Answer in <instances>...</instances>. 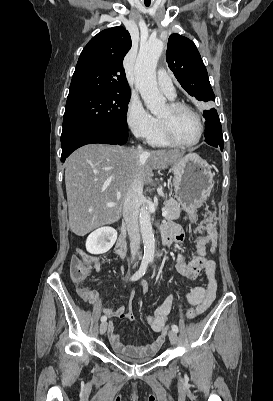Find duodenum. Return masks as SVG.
Listing matches in <instances>:
<instances>
[{
	"instance_id": "1",
	"label": "duodenum",
	"mask_w": 273,
	"mask_h": 401,
	"mask_svg": "<svg viewBox=\"0 0 273 401\" xmlns=\"http://www.w3.org/2000/svg\"><path fill=\"white\" fill-rule=\"evenodd\" d=\"M171 242H172L171 238L167 234L163 233L162 234V245L164 247H167L171 244ZM116 250H117V253L119 255H121L122 257H125L127 255V244H126V240H125L123 233H121L120 238L117 242Z\"/></svg>"
}]
</instances>
